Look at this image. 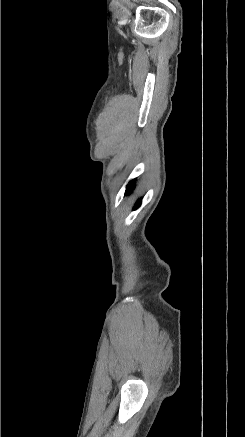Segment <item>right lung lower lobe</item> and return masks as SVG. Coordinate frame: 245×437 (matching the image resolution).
Segmentation results:
<instances>
[{
  "label": "right lung lower lobe",
  "instance_id": "1",
  "mask_svg": "<svg viewBox=\"0 0 245 437\" xmlns=\"http://www.w3.org/2000/svg\"><path fill=\"white\" fill-rule=\"evenodd\" d=\"M135 185V180H132L128 185H127V190H126V194H128L129 192H131L132 188ZM141 201H138L135 205V207L133 208V210H136L139 206H140Z\"/></svg>",
  "mask_w": 245,
  "mask_h": 437
}]
</instances>
